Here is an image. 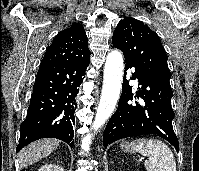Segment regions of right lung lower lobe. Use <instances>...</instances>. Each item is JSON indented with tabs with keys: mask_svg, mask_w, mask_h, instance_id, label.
Here are the masks:
<instances>
[{
	"mask_svg": "<svg viewBox=\"0 0 199 171\" xmlns=\"http://www.w3.org/2000/svg\"><path fill=\"white\" fill-rule=\"evenodd\" d=\"M88 65L89 58L40 64L16 152L45 137L60 139L73 147L76 97Z\"/></svg>",
	"mask_w": 199,
	"mask_h": 171,
	"instance_id": "1",
	"label": "right lung lower lobe"
}]
</instances>
